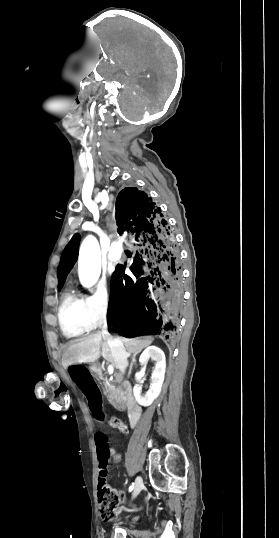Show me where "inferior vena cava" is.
Masks as SVG:
<instances>
[{"label":"inferior vena cava","instance_id":"1","mask_svg":"<svg viewBox=\"0 0 279 538\" xmlns=\"http://www.w3.org/2000/svg\"><path fill=\"white\" fill-rule=\"evenodd\" d=\"M101 320L104 322V325L101 327ZM99 324H100V327L102 328V331L101 333H105V338H107V343L109 345V347L111 348V351H112V356H115L114 358H116L115 360V365H116V368H119L122 372H124V369L126 368V366L128 365V362L127 361H124L127 356H129V353L125 352V348H124V345L121 341V337H119V335H110L107 331V323H106V314H104V316H102L99 320ZM122 360V361H121Z\"/></svg>","mask_w":279,"mask_h":538}]
</instances>
